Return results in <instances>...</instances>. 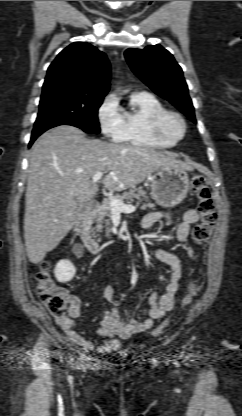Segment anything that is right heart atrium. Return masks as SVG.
<instances>
[{
    "label": "right heart atrium",
    "mask_w": 242,
    "mask_h": 416,
    "mask_svg": "<svg viewBox=\"0 0 242 416\" xmlns=\"http://www.w3.org/2000/svg\"><path fill=\"white\" fill-rule=\"evenodd\" d=\"M97 119L102 133L116 140L122 133L124 119L122 109L114 95H107L97 110Z\"/></svg>",
    "instance_id": "1"
}]
</instances>
